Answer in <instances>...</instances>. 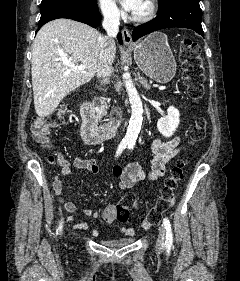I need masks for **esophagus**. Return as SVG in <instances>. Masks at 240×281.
<instances>
[{
  "mask_svg": "<svg viewBox=\"0 0 240 281\" xmlns=\"http://www.w3.org/2000/svg\"><path fill=\"white\" fill-rule=\"evenodd\" d=\"M122 39H123V43L126 45V46H133L134 43L132 41V36H131V33L128 29L124 28L122 30Z\"/></svg>",
  "mask_w": 240,
  "mask_h": 281,
  "instance_id": "obj_1",
  "label": "esophagus"
}]
</instances>
